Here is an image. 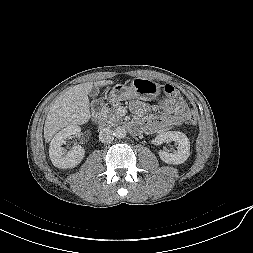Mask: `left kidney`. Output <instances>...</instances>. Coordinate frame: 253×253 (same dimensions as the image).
<instances>
[{
  "mask_svg": "<svg viewBox=\"0 0 253 253\" xmlns=\"http://www.w3.org/2000/svg\"><path fill=\"white\" fill-rule=\"evenodd\" d=\"M172 141L177 143V150L173 153H168L161 150L159 152L160 159L167 164H182L190 155V142L184 133L178 131H168L160 133L155 138V142L157 144H162L164 142L168 143Z\"/></svg>",
  "mask_w": 253,
  "mask_h": 253,
  "instance_id": "obj_1",
  "label": "left kidney"
}]
</instances>
